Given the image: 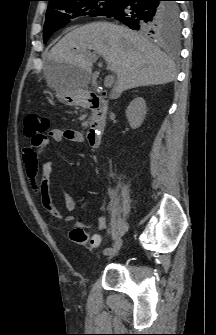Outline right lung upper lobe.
Wrapping results in <instances>:
<instances>
[{"label": "right lung upper lobe", "instance_id": "right-lung-upper-lobe-1", "mask_svg": "<svg viewBox=\"0 0 216 335\" xmlns=\"http://www.w3.org/2000/svg\"><path fill=\"white\" fill-rule=\"evenodd\" d=\"M47 1H49V4L52 2V1H54V0H47Z\"/></svg>", "mask_w": 216, "mask_h": 335}]
</instances>
